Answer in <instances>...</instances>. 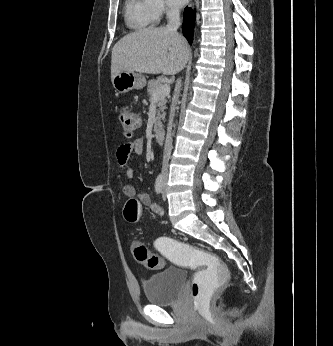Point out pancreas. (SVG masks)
<instances>
[{
	"label": "pancreas",
	"instance_id": "pancreas-1",
	"mask_svg": "<svg viewBox=\"0 0 333 346\" xmlns=\"http://www.w3.org/2000/svg\"><path fill=\"white\" fill-rule=\"evenodd\" d=\"M162 82L160 81V79H157V80H150L148 82V93L150 95V101H153V94L154 92L159 89L161 86H162ZM156 101V106L158 107V110H157V113H156V121H155V124H154V130L157 131V129L159 127L162 126V121L165 117V109H166V102L167 100L164 98H160L158 100H155Z\"/></svg>",
	"mask_w": 333,
	"mask_h": 346
}]
</instances>
